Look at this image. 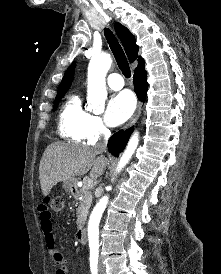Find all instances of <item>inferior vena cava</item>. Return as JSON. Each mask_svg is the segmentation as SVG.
Segmentation results:
<instances>
[{"label":"inferior vena cava","instance_id":"obj_1","mask_svg":"<svg viewBox=\"0 0 221 274\" xmlns=\"http://www.w3.org/2000/svg\"><path fill=\"white\" fill-rule=\"evenodd\" d=\"M111 133H110V130L109 129H105L104 130V138L102 140L101 143H99L96 147L101 151H105L106 147H107V141H108V138L110 137Z\"/></svg>","mask_w":221,"mask_h":274}]
</instances>
